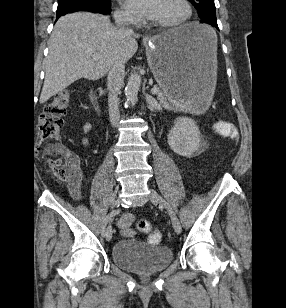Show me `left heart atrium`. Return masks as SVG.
<instances>
[{
	"mask_svg": "<svg viewBox=\"0 0 286 308\" xmlns=\"http://www.w3.org/2000/svg\"><path fill=\"white\" fill-rule=\"evenodd\" d=\"M159 0H124L126 8L134 15L151 18L156 14Z\"/></svg>",
	"mask_w": 286,
	"mask_h": 308,
	"instance_id": "39dd6f15",
	"label": "left heart atrium"
}]
</instances>
